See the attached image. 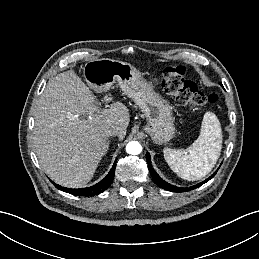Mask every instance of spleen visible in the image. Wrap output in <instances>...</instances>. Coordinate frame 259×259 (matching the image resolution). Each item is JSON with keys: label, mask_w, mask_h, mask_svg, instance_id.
<instances>
[{"label": "spleen", "mask_w": 259, "mask_h": 259, "mask_svg": "<svg viewBox=\"0 0 259 259\" xmlns=\"http://www.w3.org/2000/svg\"><path fill=\"white\" fill-rule=\"evenodd\" d=\"M222 149L221 125L212 112L203 116L199 137L187 150L164 148V158L182 179L195 181L206 176L215 166Z\"/></svg>", "instance_id": "1"}]
</instances>
